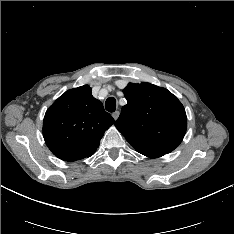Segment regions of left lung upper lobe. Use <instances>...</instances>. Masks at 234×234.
I'll use <instances>...</instances> for the list:
<instances>
[{
	"label": "left lung upper lobe",
	"mask_w": 234,
	"mask_h": 234,
	"mask_svg": "<svg viewBox=\"0 0 234 234\" xmlns=\"http://www.w3.org/2000/svg\"><path fill=\"white\" fill-rule=\"evenodd\" d=\"M127 104L115 122L126 140L142 154H167L182 141L187 118L183 105L165 88L129 83Z\"/></svg>",
	"instance_id": "1"
}]
</instances>
